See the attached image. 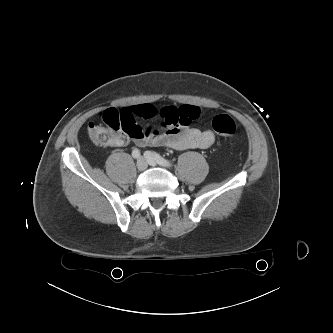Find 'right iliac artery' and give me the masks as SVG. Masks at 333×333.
<instances>
[{"label": "right iliac artery", "mask_w": 333, "mask_h": 333, "mask_svg": "<svg viewBox=\"0 0 333 333\" xmlns=\"http://www.w3.org/2000/svg\"><path fill=\"white\" fill-rule=\"evenodd\" d=\"M132 156L136 159V158H139V156H140V152H139V150L138 149H134L133 151H132Z\"/></svg>", "instance_id": "right-iliac-artery-1"}]
</instances>
